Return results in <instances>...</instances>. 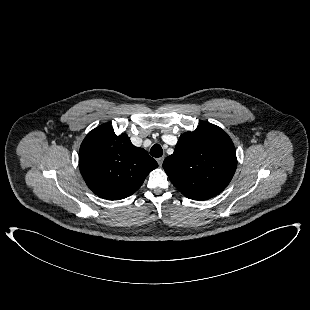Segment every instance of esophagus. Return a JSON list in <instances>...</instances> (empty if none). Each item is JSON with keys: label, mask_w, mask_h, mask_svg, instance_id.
<instances>
[{"label": "esophagus", "mask_w": 310, "mask_h": 310, "mask_svg": "<svg viewBox=\"0 0 310 310\" xmlns=\"http://www.w3.org/2000/svg\"><path fill=\"white\" fill-rule=\"evenodd\" d=\"M163 160H164L163 157L157 158V162H158L159 166H162Z\"/></svg>", "instance_id": "esophagus-1"}]
</instances>
